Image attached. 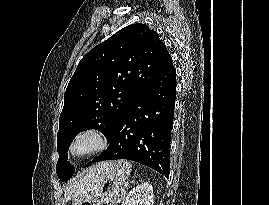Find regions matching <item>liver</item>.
<instances>
[{"label": "liver", "instance_id": "obj_1", "mask_svg": "<svg viewBox=\"0 0 269 205\" xmlns=\"http://www.w3.org/2000/svg\"><path fill=\"white\" fill-rule=\"evenodd\" d=\"M110 162H100L81 172L65 189V201L74 200L88 193L96 179L109 166Z\"/></svg>", "mask_w": 269, "mask_h": 205}]
</instances>
